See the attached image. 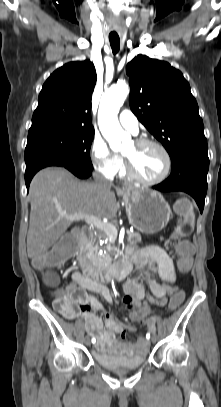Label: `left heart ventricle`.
<instances>
[{
	"mask_svg": "<svg viewBox=\"0 0 221 407\" xmlns=\"http://www.w3.org/2000/svg\"><path fill=\"white\" fill-rule=\"evenodd\" d=\"M134 164L136 171L147 179L161 177L166 169L163 153L154 146L138 147L132 142L124 151Z\"/></svg>",
	"mask_w": 221,
	"mask_h": 407,
	"instance_id": "b2bd125f",
	"label": "left heart ventricle"
}]
</instances>
